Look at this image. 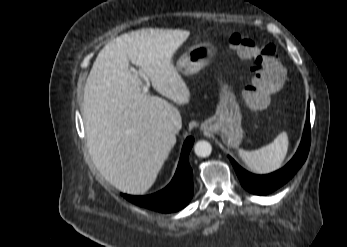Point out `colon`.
Here are the masks:
<instances>
[{
  "mask_svg": "<svg viewBox=\"0 0 347 247\" xmlns=\"http://www.w3.org/2000/svg\"><path fill=\"white\" fill-rule=\"evenodd\" d=\"M227 42L239 57L250 62L252 85L243 93L245 102L252 108H263L268 96L280 90L285 80L275 47L240 33L230 34Z\"/></svg>",
  "mask_w": 347,
  "mask_h": 247,
  "instance_id": "5ec220e1",
  "label": "colon"
}]
</instances>
